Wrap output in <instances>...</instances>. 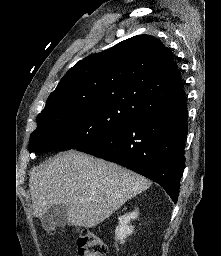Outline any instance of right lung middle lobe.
Wrapping results in <instances>:
<instances>
[{"label": "right lung middle lobe", "instance_id": "dd1d6c3e", "mask_svg": "<svg viewBox=\"0 0 221 256\" xmlns=\"http://www.w3.org/2000/svg\"><path fill=\"white\" fill-rule=\"evenodd\" d=\"M136 118L131 110L98 104L69 108L37 116L30 152L77 149L112 129Z\"/></svg>", "mask_w": 221, "mask_h": 256}]
</instances>
